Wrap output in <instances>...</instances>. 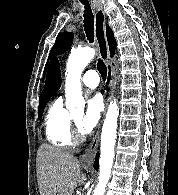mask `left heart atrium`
Listing matches in <instances>:
<instances>
[{
    "label": "left heart atrium",
    "instance_id": "left-heart-atrium-1",
    "mask_svg": "<svg viewBox=\"0 0 178 195\" xmlns=\"http://www.w3.org/2000/svg\"><path fill=\"white\" fill-rule=\"evenodd\" d=\"M103 110L102 101L98 96L91 97L87 101L84 116L81 118L79 126L82 132L89 133L97 125Z\"/></svg>",
    "mask_w": 178,
    "mask_h": 195
}]
</instances>
